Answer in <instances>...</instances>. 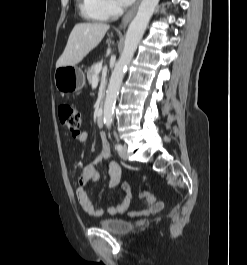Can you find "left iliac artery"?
I'll list each match as a JSON object with an SVG mask.
<instances>
[{
	"mask_svg": "<svg viewBox=\"0 0 247 265\" xmlns=\"http://www.w3.org/2000/svg\"><path fill=\"white\" fill-rule=\"evenodd\" d=\"M108 127L110 128V125H108ZM121 148H122L121 144H119V143L115 144L116 150H120Z\"/></svg>",
	"mask_w": 247,
	"mask_h": 265,
	"instance_id": "left-iliac-artery-1",
	"label": "left iliac artery"
}]
</instances>
